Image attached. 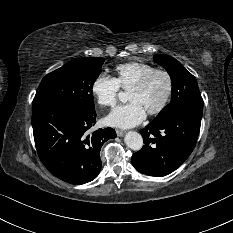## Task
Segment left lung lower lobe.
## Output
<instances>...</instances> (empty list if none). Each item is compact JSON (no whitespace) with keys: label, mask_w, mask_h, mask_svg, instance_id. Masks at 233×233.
<instances>
[{"label":"left lung lower lobe","mask_w":233,"mask_h":233,"mask_svg":"<svg viewBox=\"0 0 233 233\" xmlns=\"http://www.w3.org/2000/svg\"><path fill=\"white\" fill-rule=\"evenodd\" d=\"M202 110L203 102H194L174 116L142 129L144 146L132 155L133 166L151 176H165L176 170L195 147Z\"/></svg>","instance_id":"obj_1"}]
</instances>
